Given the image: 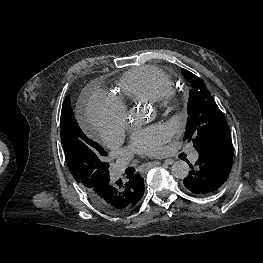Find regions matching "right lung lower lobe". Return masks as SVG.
<instances>
[{"label":"right lung lower lobe","instance_id":"obj_1","mask_svg":"<svg viewBox=\"0 0 263 263\" xmlns=\"http://www.w3.org/2000/svg\"><path fill=\"white\" fill-rule=\"evenodd\" d=\"M128 180L124 183L118 180L116 183L109 179L102 185L87 191L88 198L100 209L114 213L117 208L126 203L131 185L143 183V178L136 174L128 175Z\"/></svg>","mask_w":263,"mask_h":263}]
</instances>
